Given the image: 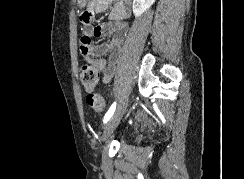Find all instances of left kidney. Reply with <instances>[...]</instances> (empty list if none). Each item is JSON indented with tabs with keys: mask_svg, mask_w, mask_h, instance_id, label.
Wrapping results in <instances>:
<instances>
[{
	"mask_svg": "<svg viewBox=\"0 0 244 179\" xmlns=\"http://www.w3.org/2000/svg\"><path fill=\"white\" fill-rule=\"evenodd\" d=\"M154 2L155 0H133L132 8L134 16H136V18L142 16Z\"/></svg>",
	"mask_w": 244,
	"mask_h": 179,
	"instance_id": "obj_1",
	"label": "left kidney"
}]
</instances>
